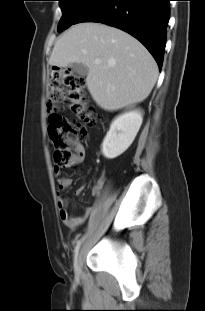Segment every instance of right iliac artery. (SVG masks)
<instances>
[{
	"label": "right iliac artery",
	"instance_id": "right-iliac-artery-1",
	"mask_svg": "<svg viewBox=\"0 0 205 311\" xmlns=\"http://www.w3.org/2000/svg\"><path fill=\"white\" fill-rule=\"evenodd\" d=\"M83 238H81L80 240L77 241L75 249H74V256L76 257L78 254V251L80 249V246L82 244Z\"/></svg>",
	"mask_w": 205,
	"mask_h": 311
}]
</instances>
